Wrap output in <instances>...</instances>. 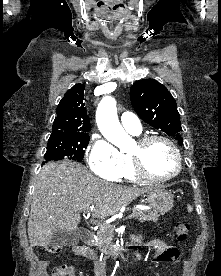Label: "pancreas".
Segmentation results:
<instances>
[{"mask_svg": "<svg viewBox=\"0 0 221 276\" xmlns=\"http://www.w3.org/2000/svg\"><path fill=\"white\" fill-rule=\"evenodd\" d=\"M137 213L140 222L153 221L156 222L159 218L157 213L151 211H142L140 209H132ZM97 240L92 245L102 247L104 249L112 250V239L114 237V227L112 225H105L100 228L96 234Z\"/></svg>", "mask_w": 221, "mask_h": 276, "instance_id": "obj_1", "label": "pancreas"}]
</instances>
